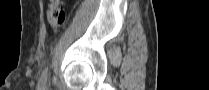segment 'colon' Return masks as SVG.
I'll list each match as a JSON object with an SVG mask.
<instances>
[{"label":"colon","instance_id":"colon-1","mask_svg":"<svg viewBox=\"0 0 209 90\" xmlns=\"http://www.w3.org/2000/svg\"><path fill=\"white\" fill-rule=\"evenodd\" d=\"M47 20L51 27L57 29L66 21V11L62 1H51L47 9Z\"/></svg>","mask_w":209,"mask_h":90}]
</instances>
